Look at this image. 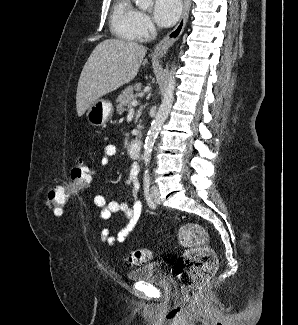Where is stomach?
I'll return each instance as SVG.
<instances>
[{
	"mask_svg": "<svg viewBox=\"0 0 298 325\" xmlns=\"http://www.w3.org/2000/svg\"><path fill=\"white\" fill-rule=\"evenodd\" d=\"M113 112L114 106L111 100H97L95 104L89 106L86 116L93 126H103L112 118Z\"/></svg>",
	"mask_w": 298,
	"mask_h": 325,
	"instance_id": "stomach-1",
	"label": "stomach"
}]
</instances>
